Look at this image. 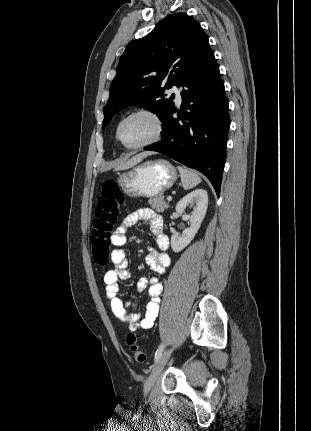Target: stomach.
Masks as SVG:
<instances>
[{"instance_id": "stomach-1", "label": "stomach", "mask_w": 311, "mask_h": 431, "mask_svg": "<svg viewBox=\"0 0 311 431\" xmlns=\"http://www.w3.org/2000/svg\"><path fill=\"white\" fill-rule=\"evenodd\" d=\"M178 178L167 160H148L119 174L117 184L128 198H156L170 190Z\"/></svg>"}]
</instances>
